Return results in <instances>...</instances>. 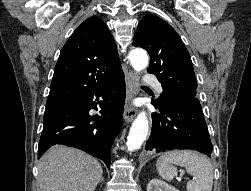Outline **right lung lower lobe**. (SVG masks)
<instances>
[{
  "mask_svg": "<svg viewBox=\"0 0 251 191\" xmlns=\"http://www.w3.org/2000/svg\"><path fill=\"white\" fill-rule=\"evenodd\" d=\"M102 98L100 115L93 101ZM125 101V78L121 74L109 84L94 89L79 101L44 114L38 158L52 145L64 144L102 159L110 167L111 145L122 127ZM99 103V101H98Z\"/></svg>",
  "mask_w": 251,
  "mask_h": 191,
  "instance_id": "98d812e1",
  "label": "right lung lower lobe"
}]
</instances>
